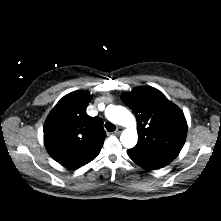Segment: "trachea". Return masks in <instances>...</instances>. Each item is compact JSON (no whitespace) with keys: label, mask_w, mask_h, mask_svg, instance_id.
Instances as JSON below:
<instances>
[{"label":"trachea","mask_w":221,"mask_h":221,"mask_svg":"<svg viewBox=\"0 0 221 221\" xmlns=\"http://www.w3.org/2000/svg\"><path fill=\"white\" fill-rule=\"evenodd\" d=\"M105 128L109 131V132H113L116 127L114 124L110 123V122H106L105 123Z\"/></svg>","instance_id":"obj_1"}]
</instances>
